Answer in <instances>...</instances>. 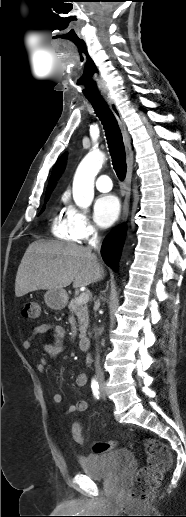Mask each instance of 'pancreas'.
<instances>
[{
    "mask_svg": "<svg viewBox=\"0 0 186 517\" xmlns=\"http://www.w3.org/2000/svg\"><path fill=\"white\" fill-rule=\"evenodd\" d=\"M77 298L71 299L68 308L73 311L78 318L79 323V337L83 338L86 335V330L89 324L88 306L85 303L77 304Z\"/></svg>",
    "mask_w": 186,
    "mask_h": 517,
    "instance_id": "cf45deb5",
    "label": "pancreas"
}]
</instances>
